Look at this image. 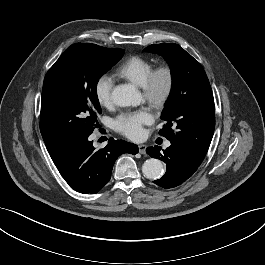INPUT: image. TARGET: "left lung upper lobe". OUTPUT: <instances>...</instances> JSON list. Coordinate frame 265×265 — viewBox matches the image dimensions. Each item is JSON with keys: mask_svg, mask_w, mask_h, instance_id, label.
Listing matches in <instances>:
<instances>
[{"mask_svg": "<svg viewBox=\"0 0 265 265\" xmlns=\"http://www.w3.org/2000/svg\"><path fill=\"white\" fill-rule=\"evenodd\" d=\"M144 51L163 56L171 69L172 90L161 114L167 124L159 134L202 162L215 128L213 94L202 65L177 44L150 45Z\"/></svg>", "mask_w": 265, "mask_h": 265, "instance_id": "obj_1", "label": "left lung upper lobe"}]
</instances>
